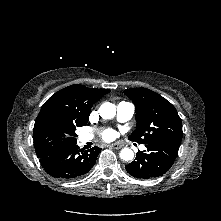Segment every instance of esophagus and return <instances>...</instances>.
<instances>
[{
    "label": "esophagus",
    "instance_id": "34e87169",
    "mask_svg": "<svg viewBox=\"0 0 221 221\" xmlns=\"http://www.w3.org/2000/svg\"><path fill=\"white\" fill-rule=\"evenodd\" d=\"M109 147L112 148V149H120V148H121V145L115 143V144L109 145Z\"/></svg>",
    "mask_w": 221,
    "mask_h": 221
}]
</instances>
